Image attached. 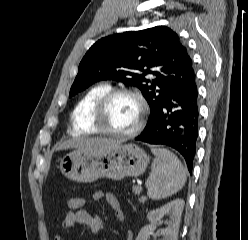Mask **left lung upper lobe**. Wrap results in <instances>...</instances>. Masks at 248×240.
<instances>
[{
    "instance_id": "left-lung-upper-lobe-1",
    "label": "left lung upper lobe",
    "mask_w": 248,
    "mask_h": 240,
    "mask_svg": "<svg viewBox=\"0 0 248 240\" xmlns=\"http://www.w3.org/2000/svg\"><path fill=\"white\" fill-rule=\"evenodd\" d=\"M153 67L157 71H150ZM149 73L156 78L146 79ZM194 74L192 59L178 34L156 26L98 40L83 57L69 97L99 80L113 79L141 90L151 119L168 95Z\"/></svg>"
}]
</instances>
